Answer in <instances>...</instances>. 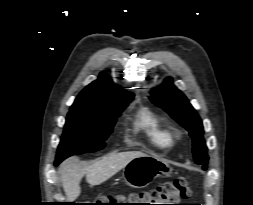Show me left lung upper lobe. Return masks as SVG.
<instances>
[{"label": "left lung upper lobe", "instance_id": "5c2ea615", "mask_svg": "<svg viewBox=\"0 0 253 205\" xmlns=\"http://www.w3.org/2000/svg\"><path fill=\"white\" fill-rule=\"evenodd\" d=\"M150 99L189 132L193 139L194 160L206 169L208 155L202 136V121L187 98L172 84V79H166L161 86L152 90Z\"/></svg>", "mask_w": 253, "mask_h": 205}]
</instances>
